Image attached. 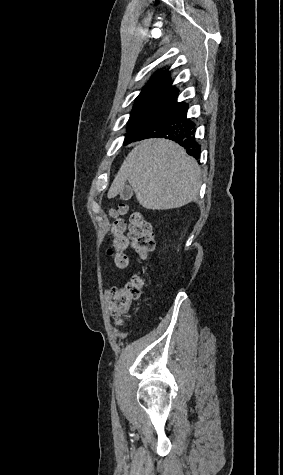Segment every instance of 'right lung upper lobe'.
Wrapping results in <instances>:
<instances>
[{
  "label": "right lung upper lobe",
  "instance_id": "cb5924a9",
  "mask_svg": "<svg viewBox=\"0 0 283 475\" xmlns=\"http://www.w3.org/2000/svg\"><path fill=\"white\" fill-rule=\"evenodd\" d=\"M162 89H175L174 87L171 86L170 77H169L168 72L166 71L156 73L152 77L151 83H149L143 88L140 95L162 90Z\"/></svg>",
  "mask_w": 283,
  "mask_h": 475
}]
</instances>
